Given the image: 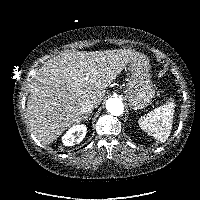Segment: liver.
<instances>
[{
	"mask_svg": "<svg viewBox=\"0 0 200 200\" xmlns=\"http://www.w3.org/2000/svg\"><path fill=\"white\" fill-rule=\"evenodd\" d=\"M139 53L131 49L65 51L36 72L27 100V119L34 136L49 145L80 123L86 100L97 107L105 89Z\"/></svg>",
	"mask_w": 200,
	"mask_h": 200,
	"instance_id": "6515ba94",
	"label": "liver"
}]
</instances>
